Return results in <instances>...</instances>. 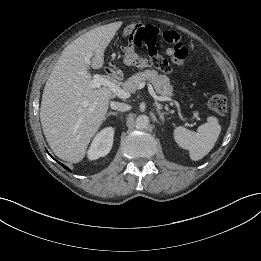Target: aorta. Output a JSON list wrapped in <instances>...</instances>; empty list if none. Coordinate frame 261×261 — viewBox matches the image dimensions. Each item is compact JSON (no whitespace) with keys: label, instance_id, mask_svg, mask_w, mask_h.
<instances>
[{"label":"aorta","instance_id":"aorta-1","mask_svg":"<svg viewBox=\"0 0 261 261\" xmlns=\"http://www.w3.org/2000/svg\"><path fill=\"white\" fill-rule=\"evenodd\" d=\"M149 117L146 115H139L136 118L135 124L138 129H145L149 125Z\"/></svg>","mask_w":261,"mask_h":261}]
</instances>
